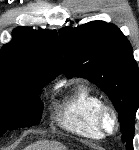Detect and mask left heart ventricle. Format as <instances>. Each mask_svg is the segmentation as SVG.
<instances>
[{
  "mask_svg": "<svg viewBox=\"0 0 139 150\" xmlns=\"http://www.w3.org/2000/svg\"><path fill=\"white\" fill-rule=\"evenodd\" d=\"M106 127L109 131H112L114 128V122L111 116H107L106 118Z\"/></svg>",
  "mask_w": 139,
  "mask_h": 150,
  "instance_id": "left-heart-ventricle-1",
  "label": "left heart ventricle"
}]
</instances>
